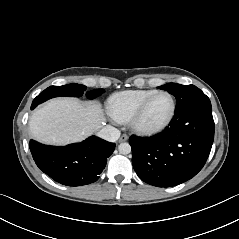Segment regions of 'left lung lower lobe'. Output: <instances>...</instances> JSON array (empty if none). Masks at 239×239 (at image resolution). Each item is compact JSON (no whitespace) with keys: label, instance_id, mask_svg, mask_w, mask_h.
<instances>
[{"label":"left lung lower lobe","instance_id":"0a47b994","mask_svg":"<svg viewBox=\"0 0 239 239\" xmlns=\"http://www.w3.org/2000/svg\"><path fill=\"white\" fill-rule=\"evenodd\" d=\"M208 99L179 110L163 132L150 138L131 136L133 167L144 182L170 187L194 177L204 166L214 140Z\"/></svg>","mask_w":239,"mask_h":239}]
</instances>
